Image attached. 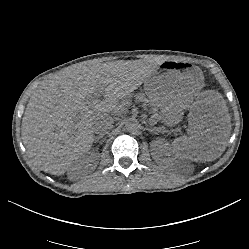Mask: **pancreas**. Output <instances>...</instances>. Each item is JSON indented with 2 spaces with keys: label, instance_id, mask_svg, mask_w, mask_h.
Wrapping results in <instances>:
<instances>
[{
  "label": "pancreas",
  "instance_id": "cf45deb5",
  "mask_svg": "<svg viewBox=\"0 0 249 249\" xmlns=\"http://www.w3.org/2000/svg\"><path fill=\"white\" fill-rule=\"evenodd\" d=\"M141 102H150V106L152 107V112H156L158 110V107L155 106L149 99L146 98L144 93H141L140 98H138Z\"/></svg>",
  "mask_w": 249,
  "mask_h": 249
}]
</instances>
